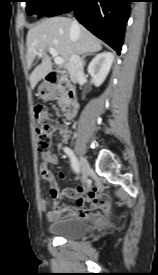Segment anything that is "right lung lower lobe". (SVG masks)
Instances as JSON below:
<instances>
[{"mask_svg": "<svg viewBox=\"0 0 158 275\" xmlns=\"http://www.w3.org/2000/svg\"><path fill=\"white\" fill-rule=\"evenodd\" d=\"M131 0H64L47 17L74 10L78 21L120 54Z\"/></svg>", "mask_w": 158, "mask_h": 275, "instance_id": "right-lung-lower-lobe-1", "label": "right lung lower lobe"}]
</instances>
